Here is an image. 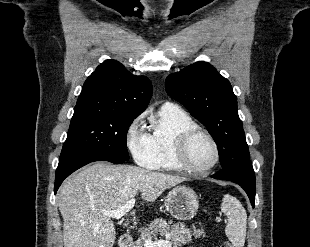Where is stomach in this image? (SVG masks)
I'll return each mask as SVG.
<instances>
[{"label":"stomach","instance_id":"obj_1","mask_svg":"<svg viewBox=\"0 0 310 247\" xmlns=\"http://www.w3.org/2000/svg\"><path fill=\"white\" fill-rule=\"evenodd\" d=\"M166 210L177 220H191L199 207L196 192L187 186L174 187L165 198Z\"/></svg>","mask_w":310,"mask_h":247}]
</instances>
